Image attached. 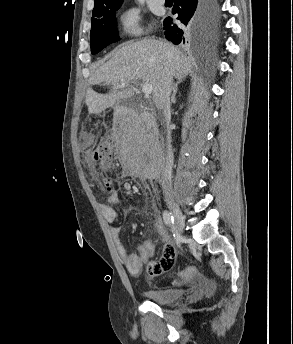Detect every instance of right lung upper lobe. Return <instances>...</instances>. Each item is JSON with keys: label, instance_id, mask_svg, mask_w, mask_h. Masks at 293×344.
I'll use <instances>...</instances> for the list:
<instances>
[{"label": "right lung upper lobe", "instance_id": "cb5924a9", "mask_svg": "<svg viewBox=\"0 0 293 344\" xmlns=\"http://www.w3.org/2000/svg\"><path fill=\"white\" fill-rule=\"evenodd\" d=\"M119 1H123V0H94V2H95L94 9L108 6L110 4H113V3L119 2Z\"/></svg>", "mask_w": 293, "mask_h": 344}]
</instances>
